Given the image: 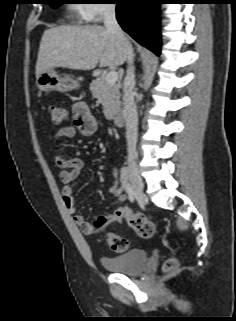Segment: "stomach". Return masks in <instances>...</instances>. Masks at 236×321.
Segmentation results:
<instances>
[{
  "label": "stomach",
  "instance_id": "0dacf381",
  "mask_svg": "<svg viewBox=\"0 0 236 321\" xmlns=\"http://www.w3.org/2000/svg\"><path fill=\"white\" fill-rule=\"evenodd\" d=\"M36 85L42 92L58 91L61 93L79 87V83L68 76L59 75L54 69L42 72L36 78Z\"/></svg>",
  "mask_w": 236,
  "mask_h": 321
}]
</instances>
